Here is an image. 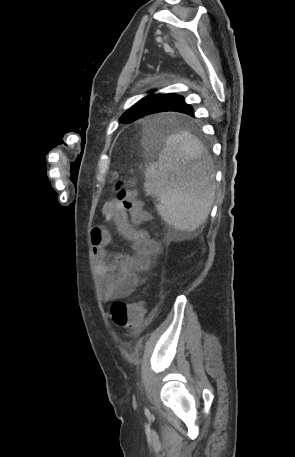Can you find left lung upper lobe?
<instances>
[{
	"label": "left lung upper lobe",
	"mask_w": 295,
	"mask_h": 457,
	"mask_svg": "<svg viewBox=\"0 0 295 457\" xmlns=\"http://www.w3.org/2000/svg\"><path fill=\"white\" fill-rule=\"evenodd\" d=\"M153 92V91H151ZM174 94L169 93V94H150L144 98H142L140 101H138L135 105H133L130 109H128L122 116H121V121L123 122H133L139 118H142L146 115H149L151 113V110L167 99L168 97L172 96Z\"/></svg>",
	"instance_id": "left-lung-upper-lobe-1"
}]
</instances>
